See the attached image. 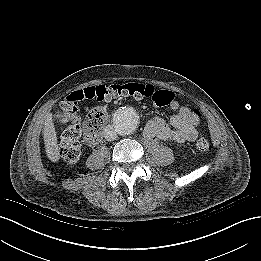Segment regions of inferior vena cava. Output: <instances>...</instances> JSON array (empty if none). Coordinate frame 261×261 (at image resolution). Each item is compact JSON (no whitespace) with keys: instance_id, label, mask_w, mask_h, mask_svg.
I'll list each match as a JSON object with an SVG mask.
<instances>
[{"instance_id":"1","label":"inferior vena cava","mask_w":261,"mask_h":261,"mask_svg":"<svg viewBox=\"0 0 261 261\" xmlns=\"http://www.w3.org/2000/svg\"><path fill=\"white\" fill-rule=\"evenodd\" d=\"M104 137L107 141H114L117 139V133L113 126H106V128L104 129Z\"/></svg>"}]
</instances>
